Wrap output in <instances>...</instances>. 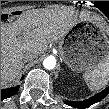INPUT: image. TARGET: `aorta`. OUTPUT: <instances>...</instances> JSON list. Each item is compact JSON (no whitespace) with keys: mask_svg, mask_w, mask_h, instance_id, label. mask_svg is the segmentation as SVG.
Returning a JSON list of instances; mask_svg holds the SVG:
<instances>
[{"mask_svg":"<svg viewBox=\"0 0 109 109\" xmlns=\"http://www.w3.org/2000/svg\"><path fill=\"white\" fill-rule=\"evenodd\" d=\"M43 66H44V68L49 69V70L55 68V66H56L55 58L54 57L45 58L43 61Z\"/></svg>","mask_w":109,"mask_h":109,"instance_id":"762f6f07","label":"aorta"}]
</instances>
